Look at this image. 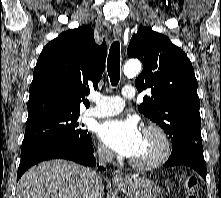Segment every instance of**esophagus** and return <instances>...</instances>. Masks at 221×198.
I'll return each instance as SVG.
<instances>
[{
	"label": "esophagus",
	"instance_id": "obj_1",
	"mask_svg": "<svg viewBox=\"0 0 221 198\" xmlns=\"http://www.w3.org/2000/svg\"><path fill=\"white\" fill-rule=\"evenodd\" d=\"M113 35L116 39H119L121 38L122 36V28L120 25H115L113 27ZM112 180L114 182H117V183H121L124 181V177L122 175V172L120 170H115L113 173H112Z\"/></svg>",
	"mask_w": 221,
	"mask_h": 198
}]
</instances>
